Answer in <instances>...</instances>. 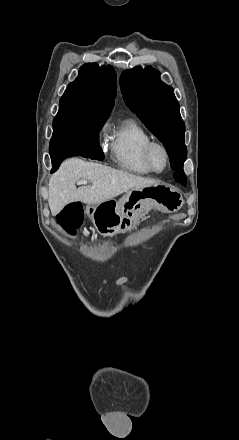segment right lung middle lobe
<instances>
[{
    "instance_id": "obj_1",
    "label": "right lung middle lobe",
    "mask_w": 239,
    "mask_h": 440,
    "mask_svg": "<svg viewBox=\"0 0 239 440\" xmlns=\"http://www.w3.org/2000/svg\"><path fill=\"white\" fill-rule=\"evenodd\" d=\"M107 116L78 115L59 110L53 120L50 155L86 144H99V131Z\"/></svg>"
}]
</instances>
